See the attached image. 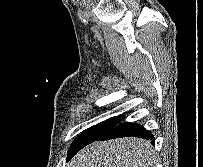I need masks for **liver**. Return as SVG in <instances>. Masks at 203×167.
<instances>
[{"instance_id":"6515ba94","label":"liver","mask_w":203,"mask_h":167,"mask_svg":"<svg viewBox=\"0 0 203 167\" xmlns=\"http://www.w3.org/2000/svg\"><path fill=\"white\" fill-rule=\"evenodd\" d=\"M154 163L150 142L131 137L95 142L78 152L68 167H151Z\"/></svg>"}]
</instances>
